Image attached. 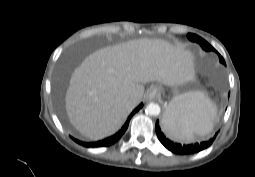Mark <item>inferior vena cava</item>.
I'll list each match as a JSON object with an SVG mask.
<instances>
[{"instance_id": "1", "label": "inferior vena cava", "mask_w": 255, "mask_h": 177, "mask_svg": "<svg viewBox=\"0 0 255 177\" xmlns=\"http://www.w3.org/2000/svg\"><path fill=\"white\" fill-rule=\"evenodd\" d=\"M129 103L132 104V105L136 104V99L133 98V97H131V98L129 99Z\"/></svg>"}]
</instances>
